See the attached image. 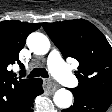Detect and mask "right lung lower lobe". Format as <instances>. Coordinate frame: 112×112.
Instances as JSON below:
<instances>
[{"mask_svg": "<svg viewBox=\"0 0 112 112\" xmlns=\"http://www.w3.org/2000/svg\"><path fill=\"white\" fill-rule=\"evenodd\" d=\"M43 92L42 79L37 78L15 112H33V100Z\"/></svg>", "mask_w": 112, "mask_h": 112, "instance_id": "obj_1", "label": "right lung lower lobe"}]
</instances>
